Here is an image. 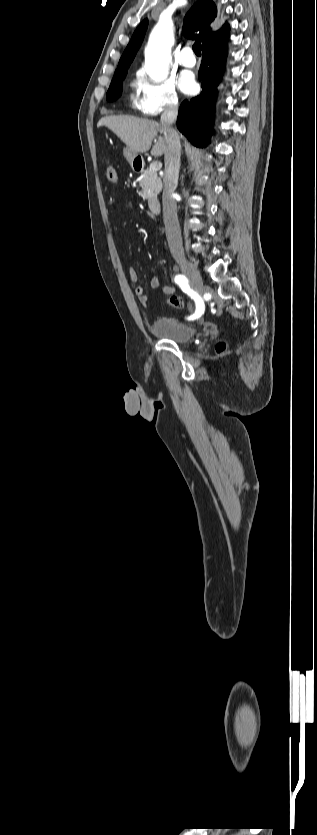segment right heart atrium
Here are the masks:
<instances>
[{
  "label": "right heart atrium",
  "mask_w": 317,
  "mask_h": 835,
  "mask_svg": "<svg viewBox=\"0 0 317 835\" xmlns=\"http://www.w3.org/2000/svg\"><path fill=\"white\" fill-rule=\"evenodd\" d=\"M137 85L139 97L136 100V108L143 115L156 117L177 110L180 101L171 79L154 82L141 74L138 76Z\"/></svg>",
  "instance_id": "right-heart-atrium-1"
}]
</instances>
